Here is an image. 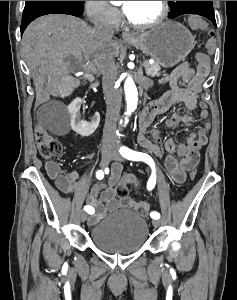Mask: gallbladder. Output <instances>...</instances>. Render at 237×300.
Segmentation results:
<instances>
[{
    "label": "gallbladder",
    "mask_w": 237,
    "mask_h": 300,
    "mask_svg": "<svg viewBox=\"0 0 237 300\" xmlns=\"http://www.w3.org/2000/svg\"><path fill=\"white\" fill-rule=\"evenodd\" d=\"M59 81H60L59 88H58L59 94H73L74 92L73 76H60Z\"/></svg>",
    "instance_id": "gallbladder-1"
}]
</instances>
